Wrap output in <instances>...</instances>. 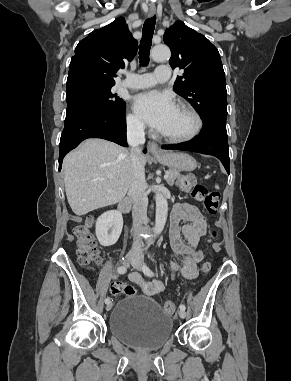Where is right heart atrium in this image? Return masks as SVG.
I'll list each match as a JSON object with an SVG mask.
<instances>
[{"mask_svg": "<svg viewBox=\"0 0 291 381\" xmlns=\"http://www.w3.org/2000/svg\"><path fill=\"white\" fill-rule=\"evenodd\" d=\"M126 122L128 128L132 131L142 132L145 128L142 119L135 113H129L126 118Z\"/></svg>", "mask_w": 291, "mask_h": 381, "instance_id": "right-heart-atrium-1", "label": "right heart atrium"}]
</instances>
